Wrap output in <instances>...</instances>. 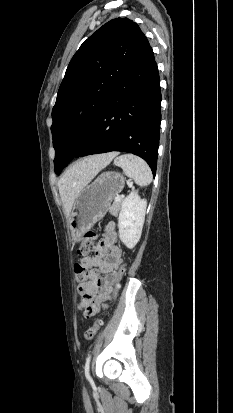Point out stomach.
<instances>
[{"instance_id": "1", "label": "stomach", "mask_w": 233, "mask_h": 413, "mask_svg": "<svg viewBox=\"0 0 233 413\" xmlns=\"http://www.w3.org/2000/svg\"><path fill=\"white\" fill-rule=\"evenodd\" d=\"M124 184L125 179L121 174L105 172L82 189L68 220L74 241H80L82 235L104 217L113 198L122 191Z\"/></svg>"}]
</instances>
